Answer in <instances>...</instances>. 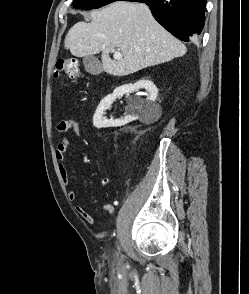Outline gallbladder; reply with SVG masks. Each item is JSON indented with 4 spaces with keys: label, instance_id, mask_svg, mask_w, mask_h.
I'll return each mask as SVG.
<instances>
[{
    "label": "gallbladder",
    "instance_id": "gallbladder-1",
    "mask_svg": "<svg viewBox=\"0 0 249 294\" xmlns=\"http://www.w3.org/2000/svg\"><path fill=\"white\" fill-rule=\"evenodd\" d=\"M83 64L85 70L92 75H99L103 71L101 63L94 55L83 57Z\"/></svg>",
    "mask_w": 249,
    "mask_h": 294
}]
</instances>
